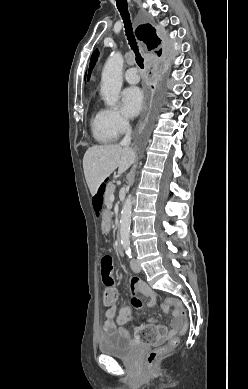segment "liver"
I'll return each instance as SVG.
<instances>
[{"mask_svg": "<svg viewBox=\"0 0 248 389\" xmlns=\"http://www.w3.org/2000/svg\"><path fill=\"white\" fill-rule=\"evenodd\" d=\"M136 153L121 145H95L87 149L83 157L84 175L92 195L101 183L118 168L124 173L135 161Z\"/></svg>", "mask_w": 248, "mask_h": 389, "instance_id": "liver-1", "label": "liver"}]
</instances>
